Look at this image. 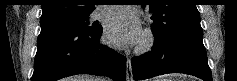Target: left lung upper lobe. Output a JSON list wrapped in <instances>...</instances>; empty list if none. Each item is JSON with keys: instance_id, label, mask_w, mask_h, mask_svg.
<instances>
[{"instance_id": "5c2ea615", "label": "left lung upper lobe", "mask_w": 237, "mask_h": 81, "mask_svg": "<svg viewBox=\"0 0 237 81\" xmlns=\"http://www.w3.org/2000/svg\"><path fill=\"white\" fill-rule=\"evenodd\" d=\"M149 6L155 41L178 32L202 31L195 0H151Z\"/></svg>"}]
</instances>
